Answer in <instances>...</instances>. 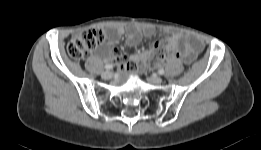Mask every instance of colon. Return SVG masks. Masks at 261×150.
I'll return each instance as SVG.
<instances>
[{"label":"colon","mask_w":261,"mask_h":150,"mask_svg":"<svg viewBox=\"0 0 261 150\" xmlns=\"http://www.w3.org/2000/svg\"><path fill=\"white\" fill-rule=\"evenodd\" d=\"M106 34L101 29H88L70 40L67 46V52L73 59H84L94 50L99 44L104 42ZM178 56V53L163 40L157 41L146 57V64L156 66L171 60Z\"/></svg>","instance_id":"colon-1"}]
</instances>
